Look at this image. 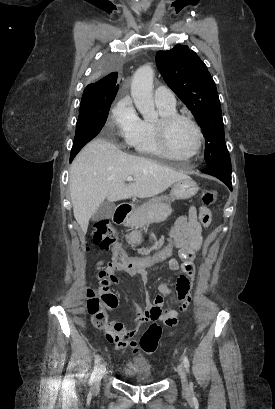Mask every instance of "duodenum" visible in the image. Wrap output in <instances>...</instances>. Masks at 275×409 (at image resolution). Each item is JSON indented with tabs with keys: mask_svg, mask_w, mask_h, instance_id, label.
Segmentation results:
<instances>
[{
	"mask_svg": "<svg viewBox=\"0 0 275 409\" xmlns=\"http://www.w3.org/2000/svg\"><path fill=\"white\" fill-rule=\"evenodd\" d=\"M131 209H132L131 205L127 203L120 204L114 213L113 216L114 222L116 224H123L130 215Z\"/></svg>",
	"mask_w": 275,
	"mask_h": 409,
	"instance_id": "410a0bca",
	"label": "duodenum"
}]
</instances>
